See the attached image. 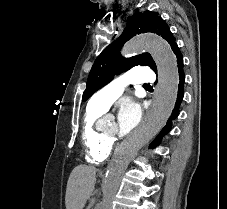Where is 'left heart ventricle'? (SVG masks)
<instances>
[{"label": "left heart ventricle", "instance_id": "b2bd125f", "mask_svg": "<svg viewBox=\"0 0 227 209\" xmlns=\"http://www.w3.org/2000/svg\"><path fill=\"white\" fill-rule=\"evenodd\" d=\"M107 133H116L117 132V126H116V123L114 122L108 131H106Z\"/></svg>", "mask_w": 227, "mask_h": 209}]
</instances>
